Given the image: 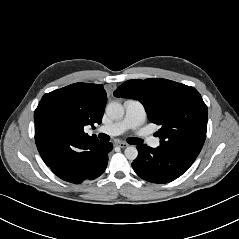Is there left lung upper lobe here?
Masks as SVG:
<instances>
[{
  "label": "left lung upper lobe",
  "mask_w": 239,
  "mask_h": 239,
  "mask_svg": "<svg viewBox=\"0 0 239 239\" xmlns=\"http://www.w3.org/2000/svg\"><path fill=\"white\" fill-rule=\"evenodd\" d=\"M114 96L140 101L152 123L160 145L196 158L206 139L208 109L199 92L167 79H135L120 85Z\"/></svg>",
  "instance_id": "obj_1"
}]
</instances>
